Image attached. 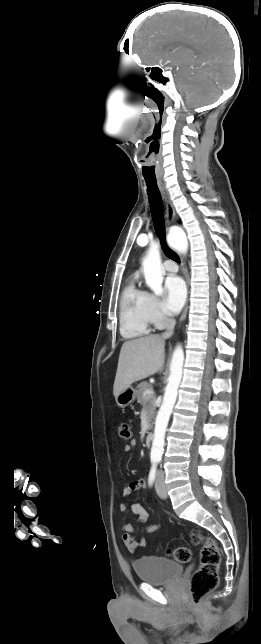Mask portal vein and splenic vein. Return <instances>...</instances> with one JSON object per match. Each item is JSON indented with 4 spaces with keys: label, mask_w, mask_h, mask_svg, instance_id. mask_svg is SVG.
I'll list each match as a JSON object with an SVG mask.
<instances>
[{
    "label": "portal vein and splenic vein",
    "mask_w": 261,
    "mask_h": 644,
    "mask_svg": "<svg viewBox=\"0 0 261 644\" xmlns=\"http://www.w3.org/2000/svg\"><path fill=\"white\" fill-rule=\"evenodd\" d=\"M152 394H154L153 389H147V390L143 393V396H144V397H148V396H150V395H152Z\"/></svg>",
    "instance_id": "18ae733b"
}]
</instances>
